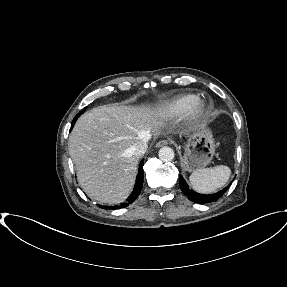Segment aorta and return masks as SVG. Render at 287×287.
I'll return each instance as SVG.
<instances>
[{
	"mask_svg": "<svg viewBox=\"0 0 287 287\" xmlns=\"http://www.w3.org/2000/svg\"><path fill=\"white\" fill-rule=\"evenodd\" d=\"M159 159L163 162L172 161L175 157L174 150L170 147H162L158 152Z\"/></svg>",
	"mask_w": 287,
	"mask_h": 287,
	"instance_id": "obj_1",
	"label": "aorta"
}]
</instances>
